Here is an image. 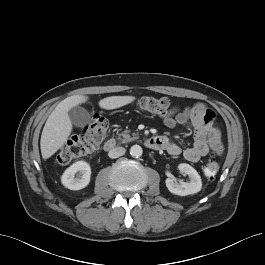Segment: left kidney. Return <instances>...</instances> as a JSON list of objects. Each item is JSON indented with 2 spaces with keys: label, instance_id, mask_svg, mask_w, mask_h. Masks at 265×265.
Here are the masks:
<instances>
[{
  "label": "left kidney",
  "instance_id": "5707ae66",
  "mask_svg": "<svg viewBox=\"0 0 265 265\" xmlns=\"http://www.w3.org/2000/svg\"><path fill=\"white\" fill-rule=\"evenodd\" d=\"M178 169L187 174L190 181L177 183L172 178H167L165 181L167 189L172 194L179 196H186L199 192L202 188V181L198 172L186 163L179 164Z\"/></svg>",
  "mask_w": 265,
  "mask_h": 265
}]
</instances>
